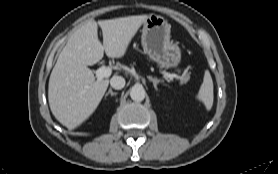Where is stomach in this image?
<instances>
[{
  "label": "stomach",
  "mask_w": 278,
  "mask_h": 174,
  "mask_svg": "<svg viewBox=\"0 0 278 174\" xmlns=\"http://www.w3.org/2000/svg\"><path fill=\"white\" fill-rule=\"evenodd\" d=\"M171 25L163 17L152 14L145 20L141 44L149 58L161 66L177 67L181 61V49L171 40Z\"/></svg>",
  "instance_id": "1"
}]
</instances>
